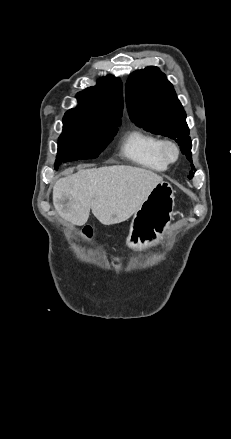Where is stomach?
<instances>
[{"label": "stomach", "instance_id": "0dacf381", "mask_svg": "<svg viewBox=\"0 0 231 439\" xmlns=\"http://www.w3.org/2000/svg\"><path fill=\"white\" fill-rule=\"evenodd\" d=\"M174 193L166 181L158 183L150 192L132 219L126 241L129 248L142 250L162 239L173 219Z\"/></svg>", "mask_w": 231, "mask_h": 439}]
</instances>
